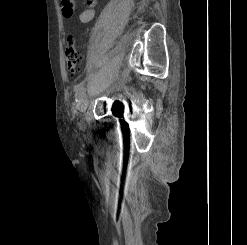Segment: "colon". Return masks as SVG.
<instances>
[{"label": "colon", "mask_w": 247, "mask_h": 245, "mask_svg": "<svg viewBox=\"0 0 247 245\" xmlns=\"http://www.w3.org/2000/svg\"><path fill=\"white\" fill-rule=\"evenodd\" d=\"M65 60L68 74L70 76L77 75L81 69V54L77 49L75 39L72 37L67 38Z\"/></svg>", "instance_id": "obj_1"}]
</instances>
